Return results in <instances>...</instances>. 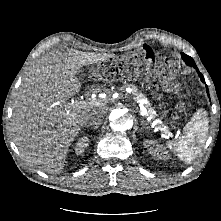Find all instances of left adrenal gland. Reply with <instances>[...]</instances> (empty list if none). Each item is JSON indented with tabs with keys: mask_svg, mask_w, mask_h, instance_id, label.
Segmentation results:
<instances>
[{
	"mask_svg": "<svg viewBox=\"0 0 221 221\" xmlns=\"http://www.w3.org/2000/svg\"><path fill=\"white\" fill-rule=\"evenodd\" d=\"M142 125H143L142 128H145V124H144V122H142Z\"/></svg>",
	"mask_w": 221,
	"mask_h": 221,
	"instance_id": "a2214340",
	"label": "left adrenal gland"
}]
</instances>
